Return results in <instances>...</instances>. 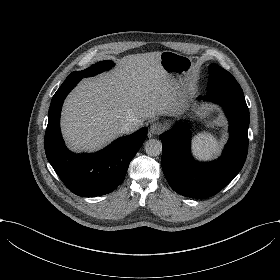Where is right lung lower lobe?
<instances>
[{"instance_id": "right-lung-lower-lobe-1", "label": "right lung lower lobe", "mask_w": 280, "mask_h": 280, "mask_svg": "<svg viewBox=\"0 0 280 280\" xmlns=\"http://www.w3.org/2000/svg\"><path fill=\"white\" fill-rule=\"evenodd\" d=\"M74 72L52 98L45 132V152L53 169L71 192L79 196H101L112 192L123 182L130 161L147 136V128L119 138L94 154L70 152L61 136L60 113L65 97L83 78Z\"/></svg>"}]
</instances>
